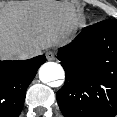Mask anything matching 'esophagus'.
Instances as JSON below:
<instances>
[{
	"mask_svg": "<svg viewBox=\"0 0 117 117\" xmlns=\"http://www.w3.org/2000/svg\"><path fill=\"white\" fill-rule=\"evenodd\" d=\"M46 58H47V60H49V61L54 60V59H55V54H54V52H52V51L46 52Z\"/></svg>",
	"mask_w": 117,
	"mask_h": 117,
	"instance_id": "obj_1",
	"label": "esophagus"
}]
</instances>
